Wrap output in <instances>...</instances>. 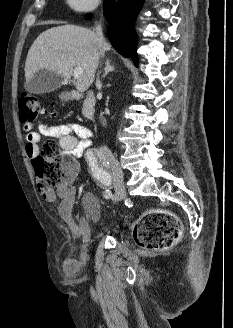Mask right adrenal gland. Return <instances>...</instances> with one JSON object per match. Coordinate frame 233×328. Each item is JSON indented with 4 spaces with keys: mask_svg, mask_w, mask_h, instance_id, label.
I'll use <instances>...</instances> for the list:
<instances>
[{
    "mask_svg": "<svg viewBox=\"0 0 233 328\" xmlns=\"http://www.w3.org/2000/svg\"><path fill=\"white\" fill-rule=\"evenodd\" d=\"M115 68L113 66L110 65V60H106V67H105V72L104 74L102 75V78H105L109 72H112L114 71Z\"/></svg>",
    "mask_w": 233,
    "mask_h": 328,
    "instance_id": "2a0ac1e0",
    "label": "right adrenal gland"
}]
</instances>
